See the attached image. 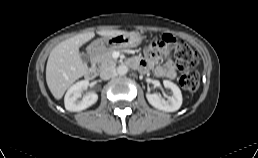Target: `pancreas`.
Masks as SVG:
<instances>
[{
    "mask_svg": "<svg viewBox=\"0 0 258 158\" xmlns=\"http://www.w3.org/2000/svg\"><path fill=\"white\" fill-rule=\"evenodd\" d=\"M116 49H110L108 51H105L97 60L100 68L106 67V66H114L117 63V60L112 57V53Z\"/></svg>",
    "mask_w": 258,
    "mask_h": 158,
    "instance_id": "cf45deb5",
    "label": "pancreas"
}]
</instances>
